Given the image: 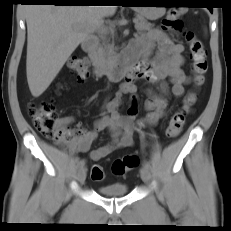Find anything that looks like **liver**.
<instances>
[{"mask_svg": "<svg viewBox=\"0 0 231 231\" xmlns=\"http://www.w3.org/2000/svg\"><path fill=\"white\" fill-rule=\"evenodd\" d=\"M26 73L31 94L39 97L55 79L75 49L116 6L29 5Z\"/></svg>", "mask_w": 231, "mask_h": 231, "instance_id": "1", "label": "liver"}]
</instances>
